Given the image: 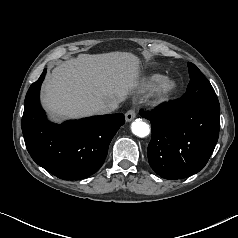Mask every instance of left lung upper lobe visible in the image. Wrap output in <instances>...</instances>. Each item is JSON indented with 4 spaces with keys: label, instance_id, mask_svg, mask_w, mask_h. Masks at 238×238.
Masks as SVG:
<instances>
[{
    "label": "left lung upper lobe",
    "instance_id": "5c2ea615",
    "mask_svg": "<svg viewBox=\"0 0 238 238\" xmlns=\"http://www.w3.org/2000/svg\"><path fill=\"white\" fill-rule=\"evenodd\" d=\"M190 83L186 93L180 98L182 109L201 102H218L215 91L201 71L192 63H188Z\"/></svg>",
    "mask_w": 238,
    "mask_h": 238
}]
</instances>
